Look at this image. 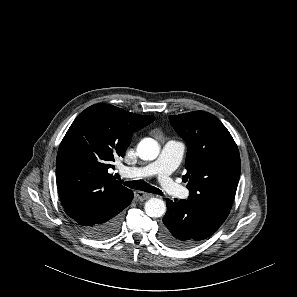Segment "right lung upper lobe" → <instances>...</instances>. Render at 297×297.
<instances>
[{
	"mask_svg": "<svg viewBox=\"0 0 297 297\" xmlns=\"http://www.w3.org/2000/svg\"><path fill=\"white\" fill-rule=\"evenodd\" d=\"M154 119L109 104L92 105L77 116L59 146L56 160L60 199L71 218L83 214L93 201H119L131 191L108 169L125 155L132 133Z\"/></svg>",
	"mask_w": 297,
	"mask_h": 297,
	"instance_id": "obj_1",
	"label": "right lung upper lobe"
}]
</instances>
